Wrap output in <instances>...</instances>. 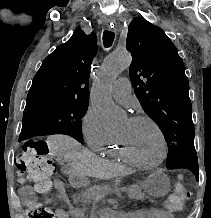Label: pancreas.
Listing matches in <instances>:
<instances>
[{
  "instance_id": "cf45deb5",
  "label": "pancreas",
  "mask_w": 211,
  "mask_h": 218,
  "mask_svg": "<svg viewBox=\"0 0 211 218\" xmlns=\"http://www.w3.org/2000/svg\"><path fill=\"white\" fill-rule=\"evenodd\" d=\"M91 190H87L82 194V198L84 202H88L90 205H99V200H105V195H111V186H91ZM129 198L132 200H143L146 198L145 194H143L141 188L134 184V186H130L129 188ZM91 218H94L93 214H90Z\"/></svg>"
}]
</instances>
